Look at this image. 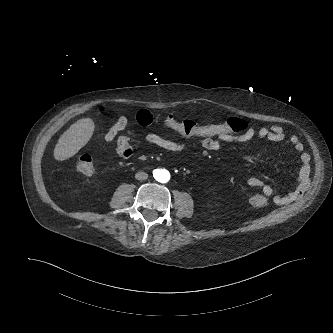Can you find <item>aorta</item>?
<instances>
[{"instance_id":"1","label":"aorta","mask_w":333,"mask_h":333,"mask_svg":"<svg viewBox=\"0 0 333 333\" xmlns=\"http://www.w3.org/2000/svg\"><path fill=\"white\" fill-rule=\"evenodd\" d=\"M155 176H156L157 181H159L161 183H166L170 178L169 173L164 170H157L155 173Z\"/></svg>"}]
</instances>
